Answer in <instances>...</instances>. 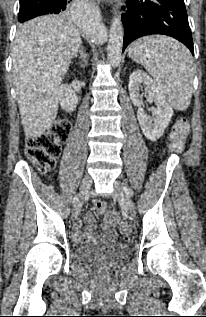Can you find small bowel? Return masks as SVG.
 I'll return each instance as SVG.
<instances>
[{"instance_id": "small-bowel-1", "label": "small bowel", "mask_w": 206, "mask_h": 317, "mask_svg": "<svg viewBox=\"0 0 206 317\" xmlns=\"http://www.w3.org/2000/svg\"><path fill=\"white\" fill-rule=\"evenodd\" d=\"M84 220L87 222V229L85 232L81 231L82 223L77 221L73 227V236L77 241H88L95 237V219L92 214L87 213L84 217ZM105 233L108 236H113L115 234L112 224L106 221L104 224Z\"/></svg>"}]
</instances>
